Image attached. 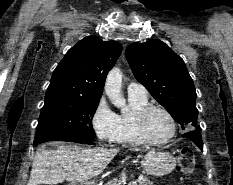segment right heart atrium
Masks as SVG:
<instances>
[{"instance_id": "1", "label": "right heart atrium", "mask_w": 233, "mask_h": 185, "mask_svg": "<svg viewBox=\"0 0 233 185\" xmlns=\"http://www.w3.org/2000/svg\"><path fill=\"white\" fill-rule=\"evenodd\" d=\"M91 126L99 141L112 144L119 135L118 115L108 104L105 97H101L91 115Z\"/></svg>"}]
</instances>
